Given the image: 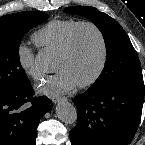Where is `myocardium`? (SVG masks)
I'll return each mask as SVG.
<instances>
[{"instance_id":"1","label":"myocardium","mask_w":145,"mask_h":145,"mask_svg":"<svg viewBox=\"0 0 145 145\" xmlns=\"http://www.w3.org/2000/svg\"><path fill=\"white\" fill-rule=\"evenodd\" d=\"M83 27H90L96 32V34L99 37L100 44H101V50H102L100 64H99L97 70L95 71V73L92 75L91 78H89L85 82L77 84V86L80 88H87V87L94 85L100 79V77L102 76V74L106 68L107 62H108L109 49H108L107 39H106V36H105L103 30L96 23H94L92 21L79 22L73 28V30L70 32L63 48L59 51L58 56L67 57L71 54L74 44H75L77 33Z\"/></svg>"}]
</instances>
